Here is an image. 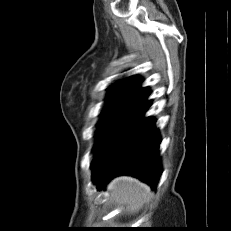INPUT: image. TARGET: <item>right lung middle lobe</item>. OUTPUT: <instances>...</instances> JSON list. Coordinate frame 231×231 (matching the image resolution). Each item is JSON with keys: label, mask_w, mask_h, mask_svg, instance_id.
Listing matches in <instances>:
<instances>
[{"label": "right lung middle lobe", "mask_w": 231, "mask_h": 231, "mask_svg": "<svg viewBox=\"0 0 231 231\" xmlns=\"http://www.w3.org/2000/svg\"><path fill=\"white\" fill-rule=\"evenodd\" d=\"M98 123V140L93 149L99 152L115 135L143 115L149 104L124 98L108 99Z\"/></svg>", "instance_id": "dd1d6c3e"}]
</instances>
